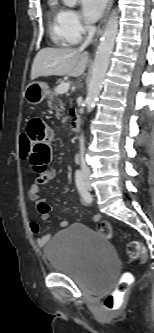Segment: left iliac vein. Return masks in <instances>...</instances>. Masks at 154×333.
<instances>
[{"label":"left iliac vein","mask_w":154,"mask_h":333,"mask_svg":"<svg viewBox=\"0 0 154 333\" xmlns=\"http://www.w3.org/2000/svg\"><path fill=\"white\" fill-rule=\"evenodd\" d=\"M87 188L90 190L91 188H90V186H89V183L87 184Z\"/></svg>","instance_id":"1"}]
</instances>
